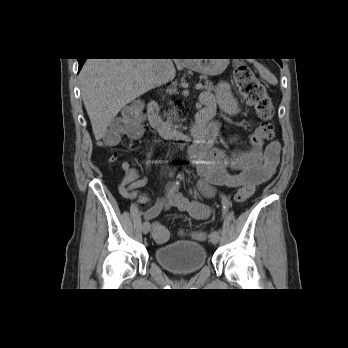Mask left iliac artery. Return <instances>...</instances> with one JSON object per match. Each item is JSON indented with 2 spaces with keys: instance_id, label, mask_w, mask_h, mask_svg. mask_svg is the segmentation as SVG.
<instances>
[{
  "instance_id": "obj_1",
  "label": "left iliac artery",
  "mask_w": 348,
  "mask_h": 348,
  "mask_svg": "<svg viewBox=\"0 0 348 348\" xmlns=\"http://www.w3.org/2000/svg\"><path fill=\"white\" fill-rule=\"evenodd\" d=\"M222 202H223V214L222 217H225L229 213V210L231 209V203L227 195H222Z\"/></svg>"
}]
</instances>
